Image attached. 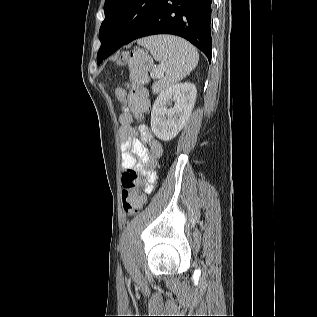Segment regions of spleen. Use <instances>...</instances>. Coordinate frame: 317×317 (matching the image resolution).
Segmentation results:
<instances>
[{
  "label": "spleen",
  "mask_w": 317,
  "mask_h": 317,
  "mask_svg": "<svg viewBox=\"0 0 317 317\" xmlns=\"http://www.w3.org/2000/svg\"><path fill=\"white\" fill-rule=\"evenodd\" d=\"M138 43L151 52L154 59L160 62V70L165 72V77L152 86L154 94L175 85L198 64L199 54L195 47L179 37L158 35L144 38Z\"/></svg>",
  "instance_id": "1"
}]
</instances>
